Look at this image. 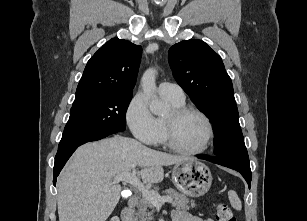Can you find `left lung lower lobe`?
Instances as JSON below:
<instances>
[{
	"label": "left lung lower lobe",
	"instance_id": "left-lung-lower-lobe-1",
	"mask_svg": "<svg viewBox=\"0 0 307 221\" xmlns=\"http://www.w3.org/2000/svg\"><path fill=\"white\" fill-rule=\"evenodd\" d=\"M199 159L207 160L212 163H216L222 166H226L228 168L234 169L242 174V176L247 181L249 188L251 185V169L250 163H244L233 158H225V157H217V158H209L205 156H198Z\"/></svg>",
	"mask_w": 307,
	"mask_h": 221
}]
</instances>
